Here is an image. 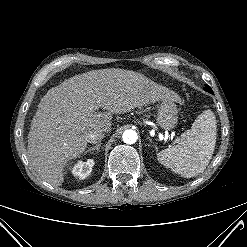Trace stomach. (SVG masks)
I'll use <instances>...</instances> for the list:
<instances>
[{
    "label": "stomach",
    "instance_id": "stomach-1",
    "mask_svg": "<svg viewBox=\"0 0 247 247\" xmlns=\"http://www.w3.org/2000/svg\"><path fill=\"white\" fill-rule=\"evenodd\" d=\"M158 125L165 130H172L178 123L177 107L171 100H163L156 117Z\"/></svg>",
    "mask_w": 247,
    "mask_h": 247
}]
</instances>
